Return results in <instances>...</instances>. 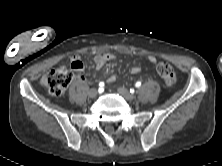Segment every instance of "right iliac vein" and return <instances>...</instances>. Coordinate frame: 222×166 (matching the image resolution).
<instances>
[{
	"instance_id": "63e3f726",
	"label": "right iliac vein",
	"mask_w": 222,
	"mask_h": 166,
	"mask_svg": "<svg viewBox=\"0 0 222 166\" xmlns=\"http://www.w3.org/2000/svg\"><path fill=\"white\" fill-rule=\"evenodd\" d=\"M97 94H98V91H97V89H95V88L90 89L89 92H88V95H89V97H91V98L96 97Z\"/></svg>"
}]
</instances>
